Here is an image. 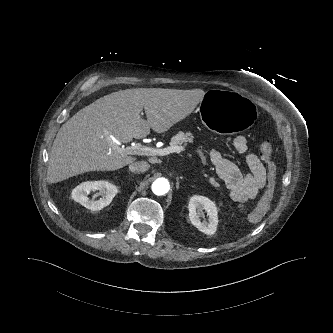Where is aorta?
Segmentation results:
<instances>
[{
  "label": "aorta",
  "instance_id": "762f6f07",
  "mask_svg": "<svg viewBox=\"0 0 333 333\" xmlns=\"http://www.w3.org/2000/svg\"><path fill=\"white\" fill-rule=\"evenodd\" d=\"M151 188L155 195L162 196L168 193L170 184L166 178H158L152 183Z\"/></svg>",
  "mask_w": 333,
  "mask_h": 333
}]
</instances>
